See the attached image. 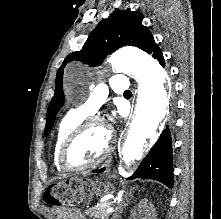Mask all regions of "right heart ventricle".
<instances>
[{"label":"right heart ventricle","mask_w":221,"mask_h":219,"mask_svg":"<svg viewBox=\"0 0 221 219\" xmlns=\"http://www.w3.org/2000/svg\"><path fill=\"white\" fill-rule=\"evenodd\" d=\"M86 117L87 114L82 113L78 110H72L68 112L58 123L53 144V163L57 171H64L59 163V151L62 143L64 142L70 131L80 122H82Z\"/></svg>","instance_id":"right-heart-ventricle-1"}]
</instances>
